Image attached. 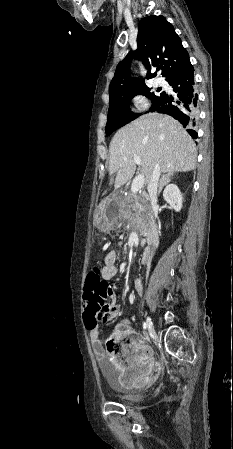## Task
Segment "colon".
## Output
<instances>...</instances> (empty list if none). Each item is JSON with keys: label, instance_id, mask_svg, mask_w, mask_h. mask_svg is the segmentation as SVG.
I'll use <instances>...</instances> for the list:
<instances>
[{"label": "colon", "instance_id": "obj_1", "mask_svg": "<svg viewBox=\"0 0 233 449\" xmlns=\"http://www.w3.org/2000/svg\"><path fill=\"white\" fill-rule=\"evenodd\" d=\"M105 286L108 287L109 285L104 282L99 268H94L86 274L84 284L85 301L82 313L86 328H99L102 317L105 316L103 305L107 301L109 302V299L102 296ZM120 342L124 348H128L133 344V334L129 327L120 326L114 337L108 342L107 351L111 356H117L118 344Z\"/></svg>", "mask_w": 233, "mask_h": 449}]
</instances>
